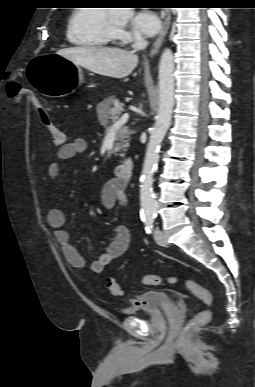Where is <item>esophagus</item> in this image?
I'll return each instance as SVG.
<instances>
[{
    "instance_id": "1",
    "label": "esophagus",
    "mask_w": 255,
    "mask_h": 387,
    "mask_svg": "<svg viewBox=\"0 0 255 387\" xmlns=\"http://www.w3.org/2000/svg\"><path fill=\"white\" fill-rule=\"evenodd\" d=\"M170 23H171V15H170V12H167L166 17H165L164 22H163L162 29H161L157 39L153 43L152 48L150 50V57L154 56L159 51V49L162 45V42H163V40H164L168 30H169Z\"/></svg>"
}]
</instances>
